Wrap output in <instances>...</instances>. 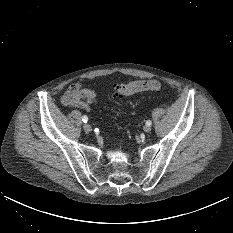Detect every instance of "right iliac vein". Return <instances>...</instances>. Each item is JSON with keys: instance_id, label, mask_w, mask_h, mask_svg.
Returning <instances> with one entry per match:
<instances>
[{"instance_id": "1", "label": "right iliac vein", "mask_w": 233, "mask_h": 233, "mask_svg": "<svg viewBox=\"0 0 233 233\" xmlns=\"http://www.w3.org/2000/svg\"><path fill=\"white\" fill-rule=\"evenodd\" d=\"M83 129H84V131L87 132V133H89V132L92 131L91 126H90L89 124H87V123L84 124Z\"/></svg>"}]
</instances>
